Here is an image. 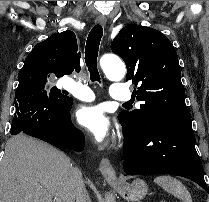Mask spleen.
I'll list each match as a JSON object with an SVG mask.
<instances>
[{"label": "spleen", "instance_id": "3e777b00", "mask_svg": "<svg viewBox=\"0 0 209 202\" xmlns=\"http://www.w3.org/2000/svg\"><path fill=\"white\" fill-rule=\"evenodd\" d=\"M154 182L162 187L167 193L182 200V202H192L189 191L178 179L168 175H161L157 176L154 179Z\"/></svg>", "mask_w": 209, "mask_h": 202}]
</instances>
